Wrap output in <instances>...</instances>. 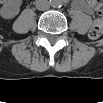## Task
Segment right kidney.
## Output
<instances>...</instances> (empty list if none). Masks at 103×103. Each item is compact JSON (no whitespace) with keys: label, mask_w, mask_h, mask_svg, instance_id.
Returning <instances> with one entry per match:
<instances>
[{"label":"right kidney","mask_w":103,"mask_h":103,"mask_svg":"<svg viewBox=\"0 0 103 103\" xmlns=\"http://www.w3.org/2000/svg\"><path fill=\"white\" fill-rule=\"evenodd\" d=\"M20 2L7 1L1 7L0 13L4 19L14 18L20 11Z\"/></svg>","instance_id":"obj_1"}]
</instances>
